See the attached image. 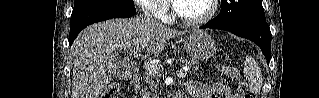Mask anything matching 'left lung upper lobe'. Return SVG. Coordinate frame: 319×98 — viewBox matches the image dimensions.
<instances>
[{
  "mask_svg": "<svg viewBox=\"0 0 319 98\" xmlns=\"http://www.w3.org/2000/svg\"><path fill=\"white\" fill-rule=\"evenodd\" d=\"M266 21L261 0H221L219 15L209 21L213 26H243Z\"/></svg>",
  "mask_w": 319,
  "mask_h": 98,
  "instance_id": "obj_1",
  "label": "left lung upper lobe"
}]
</instances>
